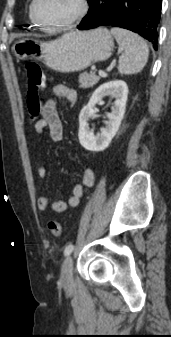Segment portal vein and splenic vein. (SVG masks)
<instances>
[{"instance_id": "1", "label": "portal vein and splenic vein", "mask_w": 171, "mask_h": 337, "mask_svg": "<svg viewBox=\"0 0 171 337\" xmlns=\"http://www.w3.org/2000/svg\"><path fill=\"white\" fill-rule=\"evenodd\" d=\"M99 75L100 76H102V77H106L107 76V74L104 72V71H102V70H99Z\"/></svg>"}]
</instances>
